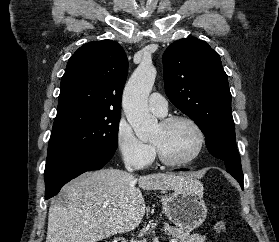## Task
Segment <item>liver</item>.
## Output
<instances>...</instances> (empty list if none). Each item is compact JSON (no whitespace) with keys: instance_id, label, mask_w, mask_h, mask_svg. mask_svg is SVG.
<instances>
[{"instance_id":"1","label":"liver","mask_w":279,"mask_h":242,"mask_svg":"<svg viewBox=\"0 0 279 242\" xmlns=\"http://www.w3.org/2000/svg\"><path fill=\"white\" fill-rule=\"evenodd\" d=\"M199 185L174 173L139 178L118 169L84 173L63 188L64 203L51 204L46 242H97L132 231L145 214L140 189L191 190Z\"/></svg>"}]
</instances>
